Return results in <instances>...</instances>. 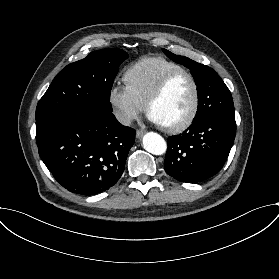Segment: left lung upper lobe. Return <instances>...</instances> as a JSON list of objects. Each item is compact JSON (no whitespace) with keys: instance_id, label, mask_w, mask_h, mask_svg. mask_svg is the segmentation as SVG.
I'll list each match as a JSON object with an SVG mask.
<instances>
[{"instance_id":"left-lung-upper-lobe-1","label":"left lung upper lobe","mask_w":279,"mask_h":279,"mask_svg":"<svg viewBox=\"0 0 279 279\" xmlns=\"http://www.w3.org/2000/svg\"><path fill=\"white\" fill-rule=\"evenodd\" d=\"M162 50L171 60L191 70L198 91V111L194 120L206 115L235 117L231 92L212 68L166 49Z\"/></svg>"}]
</instances>
